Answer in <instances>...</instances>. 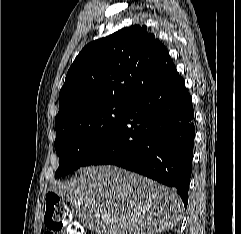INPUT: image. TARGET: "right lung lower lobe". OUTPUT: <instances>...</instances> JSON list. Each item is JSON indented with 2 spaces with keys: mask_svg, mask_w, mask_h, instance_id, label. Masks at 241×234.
<instances>
[{
  "mask_svg": "<svg viewBox=\"0 0 241 234\" xmlns=\"http://www.w3.org/2000/svg\"><path fill=\"white\" fill-rule=\"evenodd\" d=\"M194 111L175 66L135 98L107 141L83 164H113L173 187L186 208L192 171Z\"/></svg>",
  "mask_w": 241,
  "mask_h": 234,
  "instance_id": "right-lung-lower-lobe-1",
  "label": "right lung lower lobe"
}]
</instances>
